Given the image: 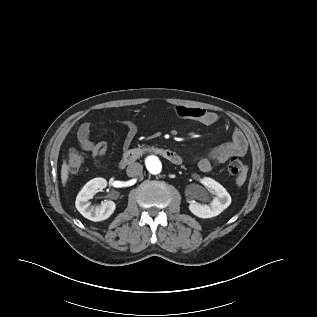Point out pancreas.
Segmentation results:
<instances>
[{
	"label": "pancreas",
	"mask_w": 317,
	"mask_h": 317,
	"mask_svg": "<svg viewBox=\"0 0 317 317\" xmlns=\"http://www.w3.org/2000/svg\"><path fill=\"white\" fill-rule=\"evenodd\" d=\"M130 152L131 153H137V152H140V149L139 148L131 149Z\"/></svg>",
	"instance_id": "cf45deb5"
}]
</instances>
